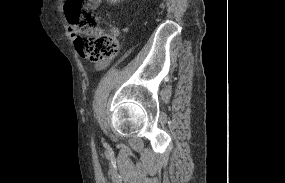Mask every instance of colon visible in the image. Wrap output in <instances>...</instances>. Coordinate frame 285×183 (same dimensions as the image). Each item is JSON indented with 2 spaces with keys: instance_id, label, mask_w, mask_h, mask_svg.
<instances>
[{
  "instance_id": "5ec220e1",
  "label": "colon",
  "mask_w": 285,
  "mask_h": 183,
  "mask_svg": "<svg viewBox=\"0 0 285 183\" xmlns=\"http://www.w3.org/2000/svg\"><path fill=\"white\" fill-rule=\"evenodd\" d=\"M84 1L67 0L64 6L65 17L77 52L94 62L114 57L119 50L117 29H101L100 16L86 9Z\"/></svg>"
}]
</instances>
